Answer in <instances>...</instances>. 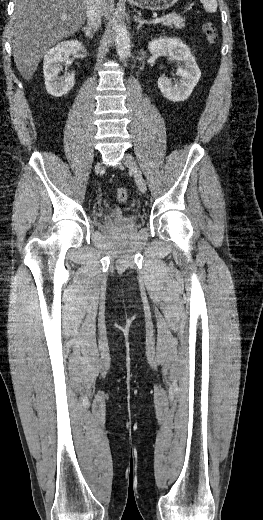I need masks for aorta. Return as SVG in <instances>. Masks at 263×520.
Masks as SVG:
<instances>
[{
  "label": "aorta",
  "instance_id": "aorta-1",
  "mask_svg": "<svg viewBox=\"0 0 263 520\" xmlns=\"http://www.w3.org/2000/svg\"><path fill=\"white\" fill-rule=\"evenodd\" d=\"M115 45L120 60H125L130 54L129 32L122 22L114 25Z\"/></svg>",
  "mask_w": 263,
  "mask_h": 520
}]
</instances>
